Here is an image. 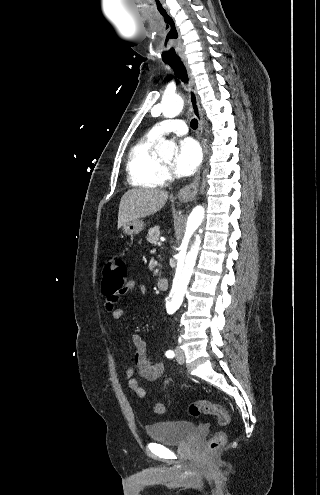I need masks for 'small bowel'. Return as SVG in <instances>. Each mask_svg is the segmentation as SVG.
<instances>
[{
  "label": "small bowel",
  "mask_w": 320,
  "mask_h": 495,
  "mask_svg": "<svg viewBox=\"0 0 320 495\" xmlns=\"http://www.w3.org/2000/svg\"><path fill=\"white\" fill-rule=\"evenodd\" d=\"M129 292L145 294L146 287L142 284L130 281L124 285L122 292L116 291L105 294V308L111 313L112 318L116 321L120 320L124 314V310L117 307L118 301L123 295ZM130 338L136 351L134 354L135 368L129 367L126 370V375L129 379L128 385L138 396L143 397L145 395V390L140 387L137 379L134 378L135 374L137 373L145 380L155 381L164 375L165 364L160 361L155 362L149 357L147 343L138 333H131Z\"/></svg>",
  "instance_id": "1"
}]
</instances>
